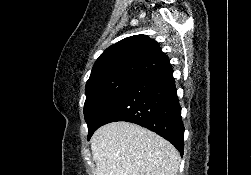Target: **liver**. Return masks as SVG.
I'll return each instance as SVG.
<instances>
[{
    "mask_svg": "<svg viewBox=\"0 0 251 175\" xmlns=\"http://www.w3.org/2000/svg\"><path fill=\"white\" fill-rule=\"evenodd\" d=\"M96 175H177L180 153L154 131L128 121L99 127L90 141Z\"/></svg>",
    "mask_w": 251,
    "mask_h": 175,
    "instance_id": "6515ba94",
    "label": "liver"
}]
</instances>
